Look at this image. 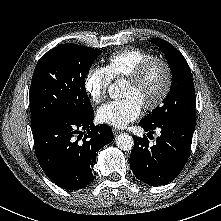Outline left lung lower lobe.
<instances>
[{
  "label": "left lung lower lobe",
  "mask_w": 221,
  "mask_h": 221,
  "mask_svg": "<svg viewBox=\"0 0 221 221\" xmlns=\"http://www.w3.org/2000/svg\"><path fill=\"white\" fill-rule=\"evenodd\" d=\"M139 126L149 131V135L158 128L161 130V135L153 146L149 145L146 136L133 137L131 169L139 180L150 186L166 185L180 174L188 160L195 124L174 120L150 125L141 121Z\"/></svg>",
  "instance_id": "left-lung-lower-lobe-1"
}]
</instances>
